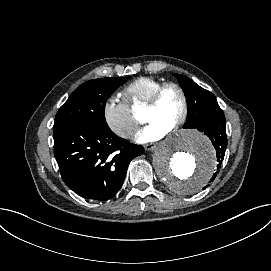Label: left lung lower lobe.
<instances>
[{
    "mask_svg": "<svg viewBox=\"0 0 271 271\" xmlns=\"http://www.w3.org/2000/svg\"><path fill=\"white\" fill-rule=\"evenodd\" d=\"M197 130L204 132L212 141L216 150L217 172L221 167L227 148L226 120L221 108H217L210 113L198 124ZM215 172L210 182L216 178ZM208 187L205 186L204 188Z\"/></svg>",
    "mask_w": 271,
    "mask_h": 271,
    "instance_id": "1",
    "label": "left lung lower lobe"
}]
</instances>
